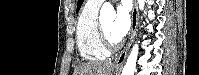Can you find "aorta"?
Returning <instances> with one entry per match:
<instances>
[{"label":"aorta","instance_id":"762f6f07","mask_svg":"<svg viewBox=\"0 0 199 75\" xmlns=\"http://www.w3.org/2000/svg\"><path fill=\"white\" fill-rule=\"evenodd\" d=\"M139 9L143 10L145 6V0H138ZM116 17V12L109 2H105L100 10V20L103 21L107 18L114 19ZM139 47L135 44L129 54L126 64L123 68L122 75H134L136 69V62L138 57Z\"/></svg>","mask_w":199,"mask_h":75}]
</instances>
